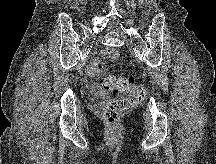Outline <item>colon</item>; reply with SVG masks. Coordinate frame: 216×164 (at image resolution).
Returning a JSON list of instances; mask_svg holds the SVG:
<instances>
[{"label":"colon","instance_id":"obj_1","mask_svg":"<svg viewBox=\"0 0 216 164\" xmlns=\"http://www.w3.org/2000/svg\"><path fill=\"white\" fill-rule=\"evenodd\" d=\"M99 67L103 68L104 62H101ZM102 85L112 95L117 96L109 100L103 109V116L110 125H116L123 112L141 101L145 95L144 87L136 84L130 77L106 75L102 79Z\"/></svg>","mask_w":216,"mask_h":164}]
</instances>
